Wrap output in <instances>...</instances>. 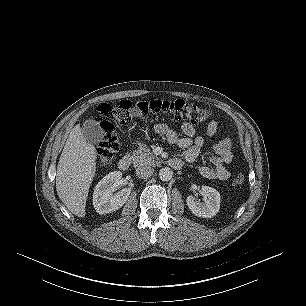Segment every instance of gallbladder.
Listing matches in <instances>:
<instances>
[{"label":"gallbladder","instance_id":"gallbladder-1","mask_svg":"<svg viewBox=\"0 0 306 306\" xmlns=\"http://www.w3.org/2000/svg\"><path fill=\"white\" fill-rule=\"evenodd\" d=\"M82 133L90 143H99L104 136L101 126L94 120H87L82 126Z\"/></svg>","mask_w":306,"mask_h":306}]
</instances>
